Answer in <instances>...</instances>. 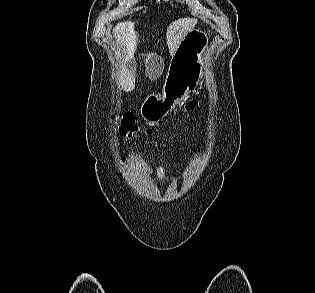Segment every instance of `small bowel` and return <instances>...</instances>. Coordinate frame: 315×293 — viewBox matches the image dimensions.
<instances>
[{"label":"small bowel","instance_id":"c3829d8e","mask_svg":"<svg viewBox=\"0 0 315 293\" xmlns=\"http://www.w3.org/2000/svg\"><path fill=\"white\" fill-rule=\"evenodd\" d=\"M145 164V173L146 176L150 179L153 185L159 186H168L172 184V181L168 180L165 175V166L160 165L156 170V178L154 177V169L150 167L146 162Z\"/></svg>","mask_w":315,"mask_h":293}]
</instances>
